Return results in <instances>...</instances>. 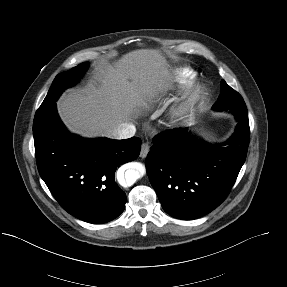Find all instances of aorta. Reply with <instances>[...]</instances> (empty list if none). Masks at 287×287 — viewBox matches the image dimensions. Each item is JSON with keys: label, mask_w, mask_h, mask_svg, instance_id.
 <instances>
[{"label": "aorta", "mask_w": 287, "mask_h": 287, "mask_svg": "<svg viewBox=\"0 0 287 287\" xmlns=\"http://www.w3.org/2000/svg\"><path fill=\"white\" fill-rule=\"evenodd\" d=\"M139 178V174L134 171H126L125 173V185H132Z\"/></svg>", "instance_id": "obj_1"}]
</instances>
